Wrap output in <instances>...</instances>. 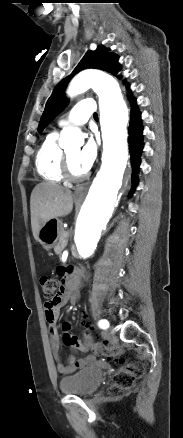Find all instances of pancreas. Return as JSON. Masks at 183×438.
Instances as JSON below:
<instances>
[{"label": "pancreas", "instance_id": "1", "mask_svg": "<svg viewBox=\"0 0 183 438\" xmlns=\"http://www.w3.org/2000/svg\"><path fill=\"white\" fill-rule=\"evenodd\" d=\"M68 243V233L66 231H62L58 243L54 247V252L61 256L63 249L66 247Z\"/></svg>", "mask_w": 183, "mask_h": 438}]
</instances>
